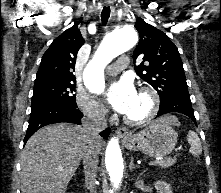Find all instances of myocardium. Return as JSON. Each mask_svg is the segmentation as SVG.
Here are the masks:
<instances>
[{"label":"myocardium","instance_id":"f54148a6","mask_svg":"<svg viewBox=\"0 0 221 193\" xmlns=\"http://www.w3.org/2000/svg\"><path fill=\"white\" fill-rule=\"evenodd\" d=\"M139 94L146 96L149 99V109L147 112L138 118L124 117V121L131 126H140L151 121L158 112L159 109V96L157 92L150 86H142L139 90Z\"/></svg>","mask_w":221,"mask_h":193}]
</instances>
